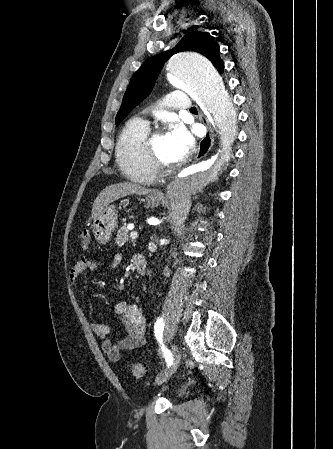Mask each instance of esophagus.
<instances>
[{
    "instance_id": "esophagus-1",
    "label": "esophagus",
    "mask_w": 333,
    "mask_h": 449,
    "mask_svg": "<svg viewBox=\"0 0 333 449\" xmlns=\"http://www.w3.org/2000/svg\"><path fill=\"white\" fill-rule=\"evenodd\" d=\"M201 119L207 127V133L199 144V149H198V153L196 155V160H200L201 158H203L209 152V150L213 146V142H214V130H213L211 124L208 122L207 118L202 114H201ZM155 195L162 196V193L156 192Z\"/></svg>"
}]
</instances>
